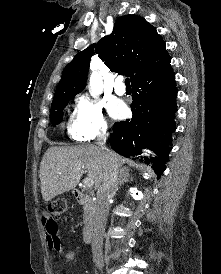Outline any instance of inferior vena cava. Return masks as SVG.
Returning a JSON list of instances; mask_svg holds the SVG:
<instances>
[{"instance_id":"obj_1","label":"inferior vena cava","mask_w":221,"mask_h":274,"mask_svg":"<svg viewBox=\"0 0 221 274\" xmlns=\"http://www.w3.org/2000/svg\"><path fill=\"white\" fill-rule=\"evenodd\" d=\"M101 148L105 151V173L102 184L97 191V209L92 225V253L94 258L102 256L103 234L108 216L109 199L115 195L118 184V164L111 152L104 146Z\"/></svg>"}]
</instances>
